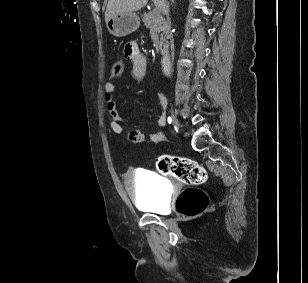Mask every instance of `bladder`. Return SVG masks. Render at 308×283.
<instances>
[{
    "label": "bladder",
    "mask_w": 308,
    "mask_h": 283,
    "mask_svg": "<svg viewBox=\"0 0 308 283\" xmlns=\"http://www.w3.org/2000/svg\"><path fill=\"white\" fill-rule=\"evenodd\" d=\"M124 185L138 208L158 214L166 211L168 186L162 177L148 170H135L127 173Z\"/></svg>",
    "instance_id": "obj_1"
}]
</instances>
